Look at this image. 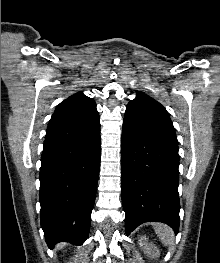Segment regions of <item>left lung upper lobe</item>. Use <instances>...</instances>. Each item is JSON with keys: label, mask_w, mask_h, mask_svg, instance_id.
Segmentation results:
<instances>
[{"label": "left lung upper lobe", "mask_w": 220, "mask_h": 263, "mask_svg": "<svg viewBox=\"0 0 220 263\" xmlns=\"http://www.w3.org/2000/svg\"><path fill=\"white\" fill-rule=\"evenodd\" d=\"M124 121L178 144L174 126L166 109L142 92H138L137 97L128 103Z\"/></svg>", "instance_id": "1"}]
</instances>
